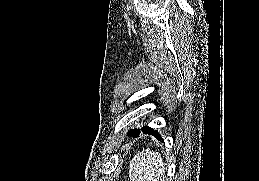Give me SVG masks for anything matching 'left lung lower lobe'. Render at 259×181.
<instances>
[{
    "label": "left lung lower lobe",
    "instance_id": "obj_1",
    "mask_svg": "<svg viewBox=\"0 0 259 181\" xmlns=\"http://www.w3.org/2000/svg\"><path fill=\"white\" fill-rule=\"evenodd\" d=\"M144 134H150V135H153L155 136L158 140H163L161 135L159 134V132H157L156 130L148 127L146 130L142 131ZM139 133H137L136 135L134 136H138Z\"/></svg>",
    "mask_w": 259,
    "mask_h": 181
}]
</instances>
